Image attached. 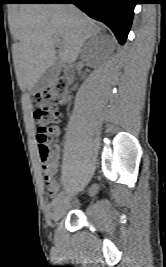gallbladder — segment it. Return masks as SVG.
<instances>
[{"label":"gallbladder","instance_id":"bac80fb5","mask_svg":"<svg viewBox=\"0 0 166 267\" xmlns=\"http://www.w3.org/2000/svg\"><path fill=\"white\" fill-rule=\"evenodd\" d=\"M61 69H62V61L60 58H56L53 65L49 67L46 71H44V73L40 76L38 81L32 87L30 93L31 94L40 93L45 89L52 87Z\"/></svg>","mask_w":166,"mask_h":267}]
</instances>
